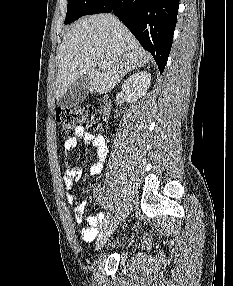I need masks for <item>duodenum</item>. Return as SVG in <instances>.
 I'll use <instances>...</instances> for the list:
<instances>
[{"instance_id":"obj_1","label":"duodenum","mask_w":233,"mask_h":286,"mask_svg":"<svg viewBox=\"0 0 233 286\" xmlns=\"http://www.w3.org/2000/svg\"><path fill=\"white\" fill-rule=\"evenodd\" d=\"M100 106H101L100 113L102 115V118L106 119V117L108 116L109 111H110V107H109V104H108L107 100L106 99H102Z\"/></svg>"}]
</instances>
